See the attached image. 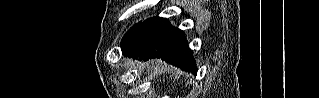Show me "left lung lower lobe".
<instances>
[{"label": "left lung lower lobe", "instance_id": "1", "mask_svg": "<svg viewBox=\"0 0 319 98\" xmlns=\"http://www.w3.org/2000/svg\"><path fill=\"white\" fill-rule=\"evenodd\" d=\"M123 55L148 60L161 58L182 70L197 72L192 51L184 32L170 25L162 17H153L141 23L136 33L122 47Z\"/></svg>", "mask_w": 319, "mask_h": 98}]
</instances>
